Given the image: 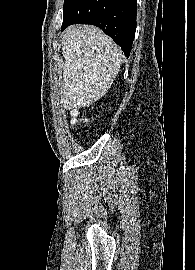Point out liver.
<instances>
[{
    "label": "liver",
    "mask_w": 195,
    "mask_h": 270,
    "mask_svg": "<svg viewBox=\"0 0 195 270\" xmlns=\"http://www.w3.org/2000/svg\"><path fill=\"white\" fill-rule=\"evenodd\" d=\"M65 109L88 106L102 98L113 84L123 61L121 49L99 28L68 27L62 36Z\"/></svg>",
    "instance_id": "6515ba94"
}]
</instances>
